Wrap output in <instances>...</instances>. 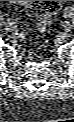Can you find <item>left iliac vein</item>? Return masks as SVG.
<instances>
[{"label": "left iliac vein", "instance_id": "4c4485c4", "mask_svg": "<svg viewBox=\"0 0 74 122\" xmlns=\"http://www.w3.org/2000/svg\"><path fill=\"white\" fill-rule=\"evenodd\" d=\"M72 29V24L67 22L65 25H64V30L66 32L70 31Z\"/></svg>", "mask_w": 74, "mask_h": 122}]
</instances>
